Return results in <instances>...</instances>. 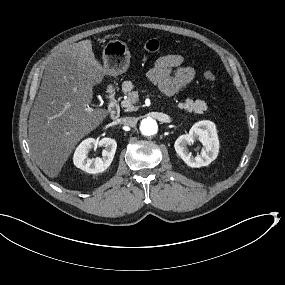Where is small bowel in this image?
<instances>
[{
  "mask_svg": "<svg viewBox=\"0 0 285 285\" xmlns=\"http://www.w3.org/2000/svg\"><path fill=\"white\" fill-rule=\"evenodd\" d=\"M151 81L159 85L160 91L165 95H174L195 77V71L184 65V59L179 54H167L159 57L148 72Z\"/></svg>",
  "mask_w": 285,
  "mask_h": 285,
  "instance_id": "small-bowel-1",
  "label": "small bowel"
}]
</instances>
